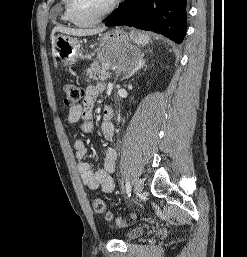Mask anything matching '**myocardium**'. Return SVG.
I'll use <instances>...</instances> for the list:
<instances>
[{"mask_svg":"<svg viewBox=\"0 0 247 257\" xmlns=\"http://www.w3.org/2000/svg\"><path fill=\"white\" fill-rule=\"evenodd\" d=\"M122 0H113L110 5L99 15L91 19L81 18L75 8V0H68V10L73 22L79 26H90L103 20L105 17L110 15L120 4Z\"/></svg>","mask_w":247,"mask_h":257,"instance_id":"f54148a6","label":"myocardium"}]
</instances>
